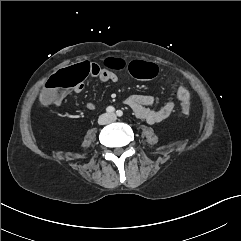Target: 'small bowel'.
Segmentation results:
<instances>
[{"label":"small bowel","instance_id":"1","mask_svg":"<svg viewBox=\"0 0 241 241\" xmlns=\"http://www.w3.org/2000/svg\"><path fill=\"white\" fill-rule=\"evenodd\" d=\"M87 63L90 65V73L88 75L97 77L104 83H116L118 81L119 77L114 71L106 69L96 62ZM181 89L186 88L179 87L178 91ZM82 90V83L75 87L76 93H80ZM123 103L132 109L136 117L145 120L150 124L159 123L167 119L174 109V104L172 102H167L159 109H153L154 98L149 95L141 94L127 96L123 99ZM56 104L60 105V101ZM87 108L93 110L96 108V105L93 102H88Z\"/></svg>","mask_w":241,"mask_h":241}]
</instances>
